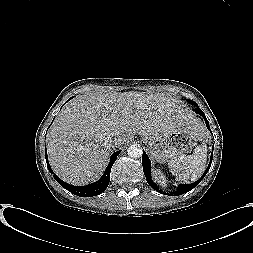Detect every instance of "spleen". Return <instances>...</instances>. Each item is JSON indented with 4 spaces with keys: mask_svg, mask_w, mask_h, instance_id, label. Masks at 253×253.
<instances>
[{
    "mask_svg": "<svg viewBox=\"0 0 253 253\" xmlns=\"http://www.w3.org/2000/svg\"><path fill=\"white\" fill-rule=\"evenodd\" d=\"M207 148L205 143L198 145L192 155H180L168 160L173 175L184 182L197 180L205 171Z\"/></svg>",
    "mask_w": 253,
    "mask_h": 253,
    "instance_id": "obj_1",
    "label": "spleen"
}]
</instances>
